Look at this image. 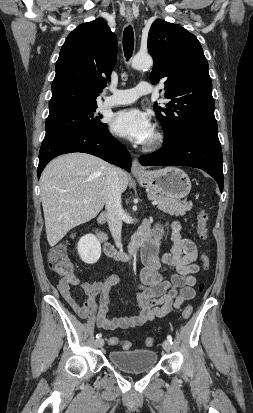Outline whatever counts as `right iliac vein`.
I'll use <instances>...</instances> for the list:
<instances>
[{"mask_svg": "<svg viewBox=\"0 0 253 413\" xmlns=\"http://www.w3.org/2000/svg\"><path fill=\"white\" fill-rule=\"evenodd\" d=\"M95 343H96V346L100 348L104 345V340H103V338L100 337L96 340Z\"/></svg>", "mask_w": 253, "mask_h": 413, "instance_id": "obj_1", "label": "right iliac vein"}]
</instances>
